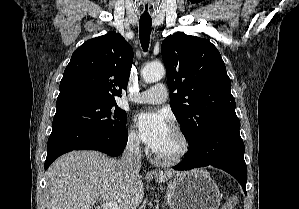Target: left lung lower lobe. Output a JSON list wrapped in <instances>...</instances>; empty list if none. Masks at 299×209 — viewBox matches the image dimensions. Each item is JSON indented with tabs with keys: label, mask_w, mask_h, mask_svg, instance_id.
Listing matches in <instances>:
<instances>
[{
	"label": "left lung lower lobe",
	"mask_w": 299,
	"mask_h": 209,
	"mask_svg": "<svg viewBox=\"0 0 299 209\" xmlns=\"http://www.w3.org/2000/svg\"><path fill=\"white\" fill-rule=\"evenodd\" d=\"M239 129L237 116L212 124L200 139L189 144L190 150L185 154L183 162L174 169L190 170L212 165L231 174L241 184L246 195L245 147Z\"/></svg>",
	"instance_id": "0a47b994"
}]
</instances>
